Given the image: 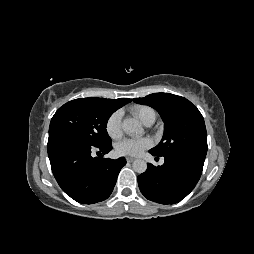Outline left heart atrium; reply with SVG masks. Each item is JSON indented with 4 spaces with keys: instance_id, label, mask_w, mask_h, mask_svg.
Segmentation results:
<instances>
[{
    "instance_id": "left-heart-atrium-1",
    "label": "left heart atrium",
    "mask_w": 254,
    "mask_h": 254,
    "mask_svg": "<svg viewBox=\"0 0 254 254\" xmlns=\"http://www.w3.org/2000/svg\"><path fill=\"white\" fill-rule=\"evenodd\" d=\"M151 142L147 138H126L117 145V152L121 155H139L150 147Z\"/></svg>"
}]
</instances>
